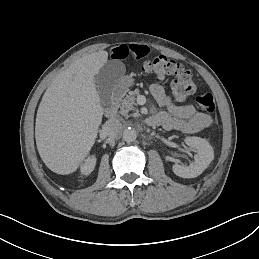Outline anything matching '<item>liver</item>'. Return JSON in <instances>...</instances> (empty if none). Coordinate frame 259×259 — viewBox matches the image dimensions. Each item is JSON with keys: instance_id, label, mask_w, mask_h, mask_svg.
Returning <instances> with one entry per match:
<instances>
[{"instance_id": "liver-1", "label": "liver", "mask_w": 259, "mask_h": 259, "mask_svg": "<svg viewBox=\"0 0 259 259\" xmlns=\"http://www.w3.org/2000/svg\"><path fill=\"white\" fill-rule=\"evenodd\" d=\"M109 53L84 54L58 74L45 91L35 123L38 153L52 172H76L96 142L103 108L95 75L107 63Z\"/></svg>"}]
</instances>
